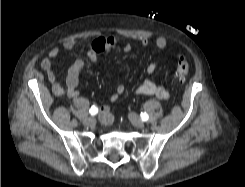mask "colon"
Returning a JSON list of instances; mask_svg holds the SVG:
<instances>
[{"instance_id": "1", "label": "colon", "mask_w": 245, "mask_h": 187, "mask_svg": "<svg viewBox=\"0 0 245 187\" xmlns=\"http://www.w3.org/2000/svg\"><path fill=\"white\" fill-rule=\"evenodd\" d=\"M189 72V64L182 54H178L176 58L175 76L180 81H185Z\"/></svg>"}]
</instances>
